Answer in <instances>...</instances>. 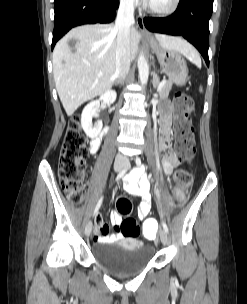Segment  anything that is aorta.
<instances>
[{"mask_svg":"<svg viewBox=\"0 0 247 304\" xmlns=\"http://www.w3.org/2000/svg\"><path fill=\"white\" fill-rule=\"evenodd\" d=\"M138 69H139V78L142 86H145L148 82L149 76V66L144 54L141 52L138 57Z\"/></svg>","mask_w":247,"mask_h":304,"instance_id":"aorta-1","label":"aorta"}]
</instances>
